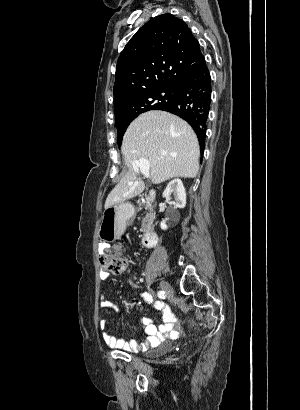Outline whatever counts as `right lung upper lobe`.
Instances as JSON below:
<instances>
[{
  "mask_svg": "<svg viewBox=\"0 0 300 410\" xmlns=\"http://www.w3.org/2000/svg\"><path fill=\"white\" fill-rule=\"evenodd\" d=\"M203 59L199 42L183 20L172 14L153 18L130 39L118 59L115 120L133 116L141 95L177 88Z\"/></svg>",
  "mask_w": 300,
  "mask_h": 410,
  "instance_id": "1",
  "label": "right lung upper lobe"
}]
</instances>
